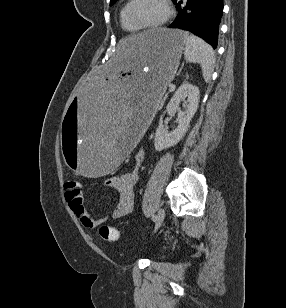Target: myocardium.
Masks as SVG:
<instances>
[{
	"mask_svg": "<svg viewBox=\"0 0 286 308\" xmlns=\"http://www.w3.org/2000/svg\"><path fill=\"white\" fill-rule=\"evenodd\" d=\"M136 2H137V0H130V5H129V8H128V18H129L130 22L139 29H146V30L158 29V28L164 26L169 21V19L172 17L173 9H172L170 0H162L163 5L165 7L164 17L161 20H159L158 22L153 23V24H142L135 18V4H136Z\"/></svg>",
	"mask_w": 286,
	"mask_h": 308,
	"instance_id": "myocardium-1",
	"label": "myocardium"
}]
</instances>
